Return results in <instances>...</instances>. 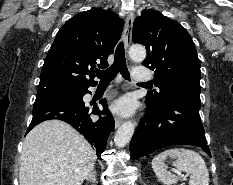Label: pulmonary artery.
Segmentation results:
<instances>
[{
	"instance_id": "1",
	"label": "pulmonary artery",
	"mask_w": 233,
	"mask_h": 185,
	"mask_svg": "<svg viewBox=\"0 0 233 185\" xmlns=\"http://www.w3.org/2000/svg\"><path fill=\"white\" fill-rule=\"evenodd\" d=\"M133 77L137 81L146 82L151 79V74L146 68L136 67L133 69Z\"/></svg>"
}]
</instances>
